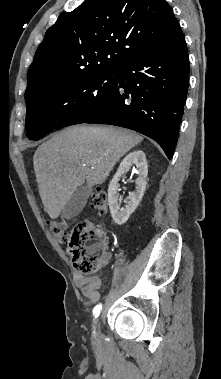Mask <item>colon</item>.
<instances>
[{
    "mask_svg": "<svg viewBox=\"0 0 221 379\" xmlns=\"http://www.w3.org/2000/svg\"><path fill=\"white\" fill-rule=\"evenodd\" d=\"M91 207L98 213L107 211V195L97 189L92 195ZM50 232L61 244L66 245L72 255L74 268L83 275L94 273L105 253V232L89 219L79 221L68 229L62 222L49 223Z\"/></svg>",
    "mask_w": 221,
    "mask_h": 379,
    "instance_id": "1",
    "label": "colon"
}]
</instances>
